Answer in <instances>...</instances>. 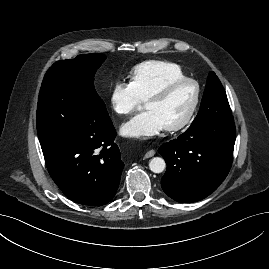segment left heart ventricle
Returning a JSON list of instances; mask_svg holds the SVG:
<instances>
[{
  "mask_svg": "<svg viewBox=\"0 0 269 269\" xmlns=\"http://www.w3.org/2000/svg\"><path fill=\"white\" fill-rule=\"evenodd\" d=\"M195 96L192 84H183L174 88L162 100L150 101L145 104L147 111H153L163 121L165 127L179 123L188 113Z\"/></svg>",
  "mask_w": 269,
  "mask_h": 269,
  "instance_id": "1",
  "label": "left heart ventricle"
}]
</instances>
